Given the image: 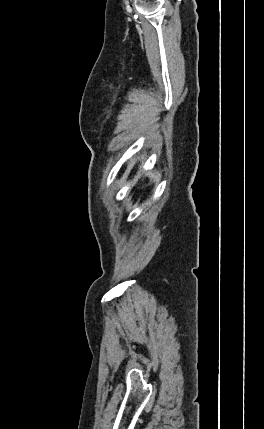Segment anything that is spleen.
Here are the masks:
<instances>
[{"label":"spleen","mask_w":264,"mask_h":429,"mask_svg":"<svg viewBox=\"0 0 264 429\" xmlns=\"http://www.w3.org/2000/svg\"><path fill=\"white\" fill-rule=\"evenodd\" d=\"M149 177L153 179H158L160 177V174L156 172H150Z\"/></svg>","instance_id":"spleen-1"}]
</instances>
